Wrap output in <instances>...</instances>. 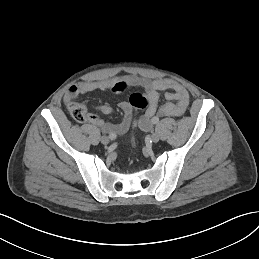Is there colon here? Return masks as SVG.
<instances>
[{"instance_id": "obj_1", "label": "colon", "mask_w": 259, "mask_h": 259, "mask_svg": "<svg viewBox=\"0 0 259 259\" xmlns=\"http://www.w3.org/2000/svg\"><path fill=\"white\" fill-rule=\"evenodd\" d=\"M129 103L135 110H143L148 106V97L144 93H133L130 96ZM70 115L78 122H85L89 117L88 110L85 105L78 102H71L68 105Z\"/></svg>"}]
</instances>
